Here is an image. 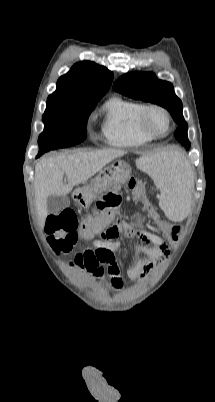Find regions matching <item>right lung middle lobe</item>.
I'll return each instance as SVG.
<instances>
[{"mask_svg":"<svg viewBox=\"0 0 215 402\" xmlns=\"http://www.w3.org/2000/svg\"><path fill=\"white\" fill-rule=\"evenodd\" d=\"M100 99H48L43 115L45 128L38 139L37 157L47 151L84 141L88 116Z\"/></svg>","mask_w":215,"mask_h":402,"instance_id":"dd1d6c3e","label":"right lung middle lobe"}]
</instances>
